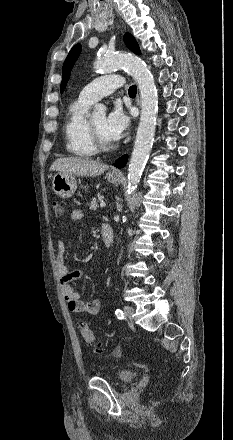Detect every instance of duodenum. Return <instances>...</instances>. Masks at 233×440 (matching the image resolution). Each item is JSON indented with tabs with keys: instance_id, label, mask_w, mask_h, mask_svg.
<instances>
[{
	"instance_id": "410a0bca",
	"label": "duodenum",
	"mask_w": 233,
	"mask_h": 440,
	"mask_svg": "<svg viewBox=\"0 0 233 440\" xmlns=\"http://www.w3.org/2000/svg\"><path fill=\"white\" fill-rule=\"evenodd\" d=\"M101 236L106 247L111 246L114 238L113 228L110 223L106 222L101 227Z\"/></svg>"
}]
</instances>
